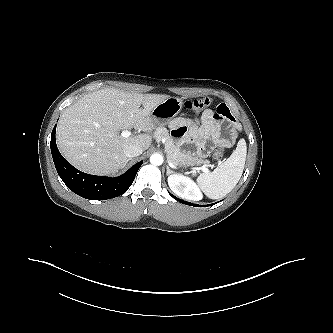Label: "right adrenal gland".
<instances>
[{"mask_svg": "<svg viewBox=\"0 0 333 333\" xmlns=\"http://www.w3.org/2000/svg\"><path fill=\"white\" fill-rule=\"evenodd\" d=\"M131 160V158H128L124 164V166Z\"/></svg>", "mask_w": 333, "mask_h": 333, "instance_id": "obj_1", "label": "right adrenal gland"}]
</instances>
